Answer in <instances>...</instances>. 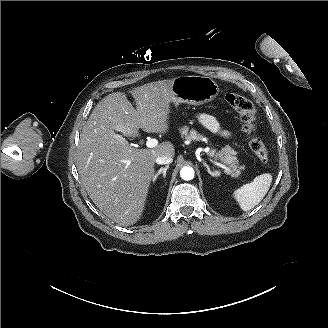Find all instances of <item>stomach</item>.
I'll list each match as a JSON object with an SVG mask.
<instances>
[{"instance_id":"obj_1","label":"stomach","mask_w":328,"mask_h":328,"mask_svg":"<svg viewBox=\"0 0 328 328\" xmlns=\"http://www.w3.org/2000/svg\"><path fill=\"white\" fill-rule=\"evenodd\" d=\"M172 91L178 103L201 106L215 100L220 89L210 77L182 76L174 79Z\"/></svg>"}]
</instances>
